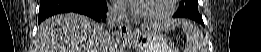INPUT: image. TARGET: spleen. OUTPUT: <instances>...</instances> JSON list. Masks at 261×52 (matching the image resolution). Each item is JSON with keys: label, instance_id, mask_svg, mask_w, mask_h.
I'll use <instances>...</instances> for the list:
<instances>
[{"label": "spleen", "instance_id": "obj_1", "mask_svg": "<svg viewBox=\"0 0 261 52\" xmlns=\"http://www.w3.org/2000/svg\"><path fill=\"white\" fill-rule=\"evenodd\" d=\"M182 28L187 37L186 50L189 52L196 51V49L199 47V29L195 25L187 21L182 23Z\"/></svg>", "mask_w": 261, "mask_h": 52}]
</instances>
